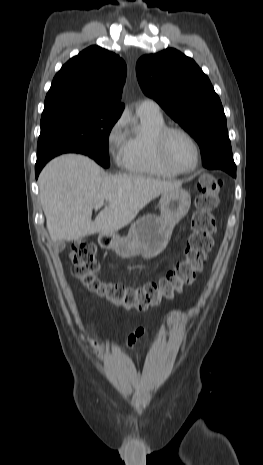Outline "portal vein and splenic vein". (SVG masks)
<instances>
[{
  "label": "portal vein and splenic vein",
  "instance_id": "obj_1",
  "mask_svg": "<svg viewBox=\"0 0 263 465\" xmlns=\"http://www.w3.org/2000/svg\"><path fill=\"white\" fill-rule=\"evenodd\" d=\"M101 206H103V202H100V203L96 204L95 208H100Z\"/></svg>",
  "mask_w": 263,
  "mask_h": 465
}]
</instances>
